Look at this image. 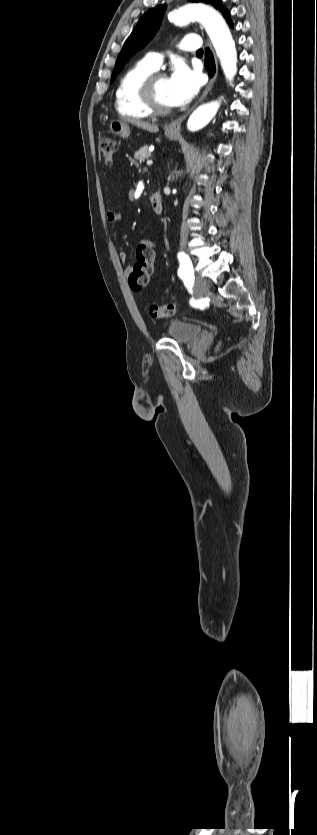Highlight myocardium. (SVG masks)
<instances>
[{
	"label": "myocardium",
	"instance_id": "f54148a6",
	"mask_svg": "<svg viewBox=\"0 0 317 835\" xmlns=\"http://www.w3.org/2000/svg\"><path fill=\"white\" fill-rule=\"evenodd\" d=\"M163 77L164 74L153 72L142 82L139 89L141 100L153 115H166L172 111V107L162 105L156 95V83Z\"/></svg>",
	"mask_w": 317,
	"mask_h": 835
}]
</instances>
